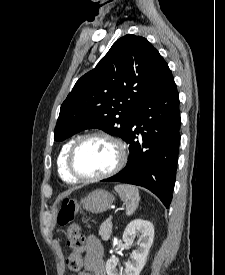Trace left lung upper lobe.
I'll list each match as a JSON object with an SVG mask.
<instances>
[{
	"mask_svg": "<svg viewBox=\"0 0 225 275\" xmlns=\"http://www.w3.org/2000/svg\"><path fill=\"white\" fill-rule=\"evenodd\" d=\"M170 70L145 38L118 39L97 66L83 75L61 105L54 140L99 128L124 139L146 98Z\"/></svg>",
	"mask_w": 225,
	"mask_h": 275,
	"instance_id": "left-lung-upper-lobe-1",
	"label": "left lung upper lobe"
}]
</instances>
